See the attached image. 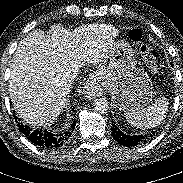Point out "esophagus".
<instances>
[{"label": "esophagus", "instance_id": "1", "mask_svg": "<svg viewBox=\"0 0 183 183\" xmlns=\"http://www.w3.org/2000/svg\"><path fill=\"white\" fill-rule=\"evenodd\" d=\"M84 90L85 94H87V97H96L102 95L104 90L98 74L96 73L91 74V76L85 83Z\"/></svg>", "mask_w": 183, "mask_h": 183}]
</instances>
